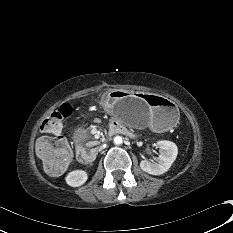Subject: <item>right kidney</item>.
I'll return each mask as SVG.
<instances>
[{
    "instance_id": "right-kidney-1",
    "label": "right kidney",
    "mask_w": 233,
    "mask_h": 233,
    "mask_svg": "<svg viewBox=\"0 0 233 233\" xmlns=\"http://www.w3.org/2000/svg\"><path fill=\"white\" fill-rule=\"evenodd\" d=\"M88 175L84 170H73L65 178L66 183L72 187H79L87 181Z\"/></svg>"
}]
</instances>
